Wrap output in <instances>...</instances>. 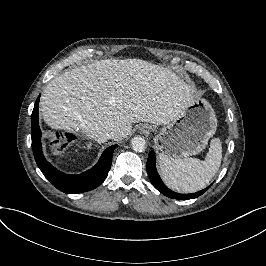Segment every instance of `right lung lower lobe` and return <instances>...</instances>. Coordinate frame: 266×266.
<instances>
[{
    "label": "right lung lower lobe",
    "mask_w": 266,
    "mask_h": 266,
    "mask_svg": "<svg viewBox=\"0 0 266 266\" xmlns=\"http://www.w3.org/2000/svg\"><path fill=\"white\" fill-rule=\"evenodd\" d=\"M38 96L31 115L32 150L36 163L45 177L59 190L68 194L90 191L98 187L107 177L111 167L112 155L117 145L108 147L98 163L81 174H65L53 167L44 157L41 146V130L38 123Z\"/></svg>",
    "instance_id": "right-lung-lower-lobe-1"
}]
</instances>
